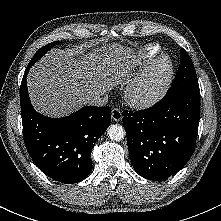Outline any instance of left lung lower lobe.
Returning <instances> with one entry per match:
<instances>
[{
    "label": "left lung lower lobe",
    "mask_w": 221,
    "mask_h": 221,
    "mask_svg": "<svg viewBox=\"0 0 221 221\" xmlns=\"http://www.w3.org/2000/svg\"><path fill=\"white\" fill-rule=\"evenodd\" d=\"M199 90L167 92L154 106L124 111L130 159L149 180L174 175L193 154L199 126Z\"/></svg>",
    "instance_id": "left-lung-lower-lobe-1"
}]
</instances>
